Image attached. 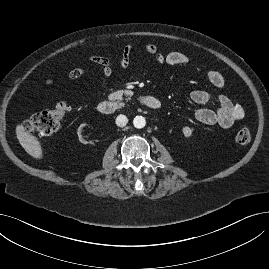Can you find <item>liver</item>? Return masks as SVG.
<instances>
[{
  "label": "liver",
  "instance_id": "6515ba94",
  "mask_svg": "<svg viewBox=\"0 0 269 269\" xmlns=\"http://www.w3.org/2000/svg\"><path fill=\"white\" fill-rule=\"evenodd\" d=\"M16 136L24 150L35 159L43 158V149L40 141L26 130L22 124L16 126Z\"/></svg>",
  "mask_w": 269,
  "mask_h": 269
}]
</instances>
